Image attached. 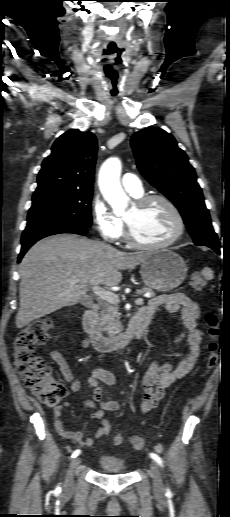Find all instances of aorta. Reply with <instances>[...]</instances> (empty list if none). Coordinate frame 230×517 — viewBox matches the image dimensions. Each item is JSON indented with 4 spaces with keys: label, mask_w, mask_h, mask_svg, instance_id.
<instances>
[{
    "label": "aorta",
    "mask_w": 230,
    "mask_h": 517,
    "mask_svg": "<svg viewBox=\"0 0 230 517\" xmlns=\"http://www.w3.org/2000/svg\"><path fill=\"white\" fill-rule=\"evenodd\" d=\"M121 168V161L112 157L102 164L99 171L100 191L115 213H122L129 203V197L120 183Z\"/></svg>",
    "instance_id": "obj_1"
}]
</instances>
